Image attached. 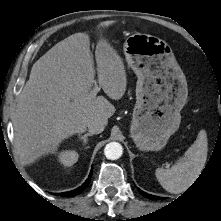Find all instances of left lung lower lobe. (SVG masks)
<instances>
[{"instance_id": "obj_1", "label": "left lung lower lobe", "mask_w": 221, "mask_h": 221, "mask_svg": "<svg viewBox=\"0 0 221 221\" xmlns=\"http://www.w3.org/2000/svg\"><path fill=\"white\" fill-rule=\"evenodd\" d=\"M138 190H139V192H140L143 196H145V197H147V198H149V199H154V200L164 199V198H162V197H158V196H153V195L147 194V193L141 191L140 189H138Z\"/></svg>"}]
</instances>
